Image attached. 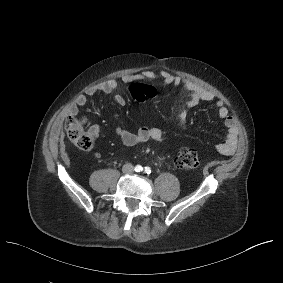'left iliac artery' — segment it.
I'll return each instance as SVG.
<instances>
[{"instance_id": "44dca946", "label": "left iliac artery", "mask_w": 283, "mask_h": 283, "mask_svg": "<svg viewBox=\"0 0 283 283\" xmlns=\"http://www.w3.org/2000/svg\"><path fill=\"white\" fill-rule=\"evenodd\" d=\"M145 173H147V174H150L151 173V170H150V167H145Z\"/></svg>"}]
</instances>
